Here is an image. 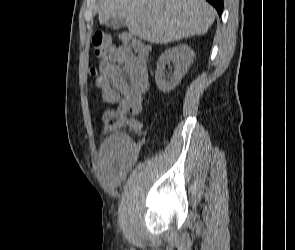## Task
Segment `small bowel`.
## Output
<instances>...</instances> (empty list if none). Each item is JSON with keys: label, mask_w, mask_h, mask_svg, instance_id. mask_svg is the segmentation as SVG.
Listing matches in <instances>:
<instances>
[{"label": "small bowel", "mask_w": 295, "mask_h": 250, "mask_svg": "<svg viewBox=\"0 0 295 250\" xmlns=\"http://www.w3.org/2000/svg\"><path fill=\"white\" fill-rule=\"evenodd\" d=\"M147 58V51L135 55L126 46L115 48L110 69L96 79L103 105H128L141 111L149 89ZM129 150V141L122 134L112 135L103 142L100 163L110 180L117 182L126 174Z\"/></svg>", "instance_id": "small-bowel-1"}]
</instances>
